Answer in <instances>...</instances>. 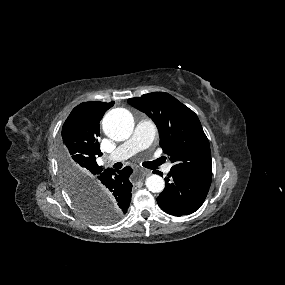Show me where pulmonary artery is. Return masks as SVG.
<instances>
[{
    "label": "pulmonary artery",
    "instance_id": "1",
    "mask_svg": "<svg viewBox=\"0 0 285 285\" xmlns=\"http://www.w3.org/2000/svg\"><path fill=\"white\" fill-rule=\"evenodd\" d=\"M156 129L152 121L142 119L137 122L132 136L120 144L111 154L106 157L107 162L127 159L137 152L148 148L155 137ZM171 164L167 163L164 167L166 173L170 172Z\"/></svg>",
    "mask_w": 285,
    "mask_h": 285
}]
</instances>
